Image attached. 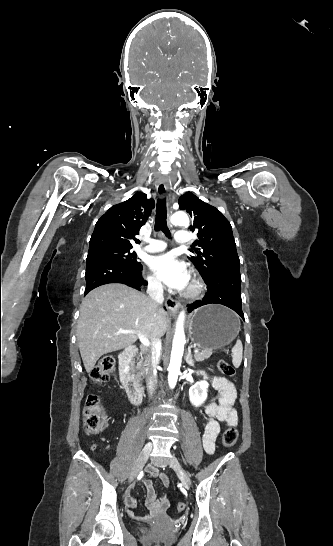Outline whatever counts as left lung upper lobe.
I'll return each mask as SVG.
<instances>
[{"label": "left lung upper lobe", "mask_w": 333, "mask_h": 546, "mask_svg": "<svg viewBox=\"0 0 333 546\" xmlns=\"http://www.w3.org/2000/svg\"><path fill=\"white\" fill-rule=\"evenodd\" d=\"M179 207L193 219L190 230L198 231L196 245L190 250L189 260L200 272L204 281L227 271H240V261L229 221L215 207L203 202L191 192L179 198Z\"/></svg>", "instance_id": "left-lung-upper-lobe-1"}]
</instances>
